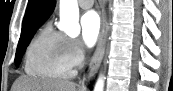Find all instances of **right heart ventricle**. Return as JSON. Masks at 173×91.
Returning <instances> with one entry per match:
<instances>
[{
	"instance_id": "e07e8e85",
	"label": "right heart ventricle",
	"mask_w": 173,
	"mask_h": 91,
	"mask_svg": "<svg viewBox=\"0 0 173 91\" xmlns=\"http://www.w3.org/2000/svg\"><path fill=\"white\" fill-rule=\"evenodd\" d=\"M25 71L41 79H66L73 73L65 52V37L50 26L44 27L29 45Z\"/></svg>"
}]
</instances>
